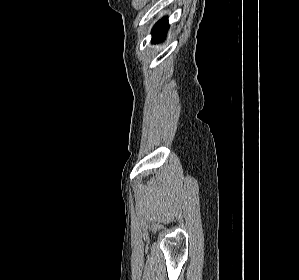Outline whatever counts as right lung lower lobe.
<instances>
[{
  "label": "right lung lower lobe",
  "mask_w": 299,
  "mask_h": 280,
  "mask_svg": "<svg viewBox=\"0 0 299 280\" xmlns=\"http://www.w3.org/2000/svg\"><path fill=\"white\" fill-rule=\"evenodd\" d=\"M168 27L169 25L167 18H163L157 22L152 30V42L157 43L162 41L165 38Z\"/></svg>",
  "instance_id": "obj_1"
}]
</instances>
